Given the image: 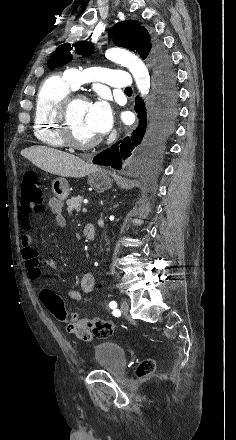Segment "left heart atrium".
Here are the masks:
<instances>
[{
  "mask_svg": "<svg viewBox=\"0 0 236 440\" xmlns=\"http://www.w3.org/2000/svg\"><path fill=\"white\" fill-rule=\"evenodd\" d=\"M88 117L98 135L109 131L112 124V111L106 100L100 99L91 103Z\"/></svg>",
  "mask_w": 236,
  "mask_h": 440,
  "instance_id": "left-heart-atrium-1",
  "label": "left heart atrium"
}]
</instances>
